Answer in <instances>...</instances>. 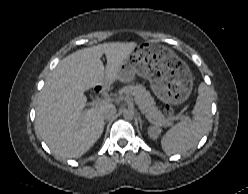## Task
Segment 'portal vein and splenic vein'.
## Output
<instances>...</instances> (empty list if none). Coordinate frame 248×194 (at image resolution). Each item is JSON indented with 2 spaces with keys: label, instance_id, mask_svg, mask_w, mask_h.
<instances>
[{
  "label": "portal vein and splenic vein",
  "instance_id": "obj_1",
  "mask_svg": "<svg viewBox=\"0 0 248 194\" xmlns=\"http://www.w3.org/2000/svg\"><path fill=\"white\" fill-rule=\"evenodd\" d=\"M108 101V98H105V99H99V100H96L92 103V105L94 106H99V105H102V104H105L106 102ZM136 104L139 106V109L141 110V105L138 103V101H136ZM142 112V110H141ZM181 118H184L186 120H190V117L189 116H184V117H181Z\"/></svg>",
  "mask_w": 248,
  "mask_h": 194
}]
</instances>
